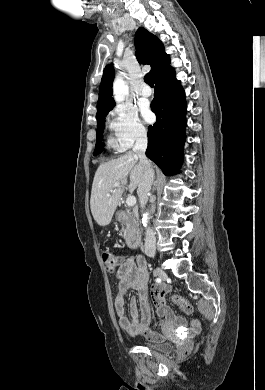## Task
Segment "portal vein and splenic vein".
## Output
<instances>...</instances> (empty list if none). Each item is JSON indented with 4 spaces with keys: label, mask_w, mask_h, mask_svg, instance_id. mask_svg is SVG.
Here are the masks:
<instances>
[{
    "label": "portal vein and splenic vein",
    "mask_w": 265,
    "mask_h": 390,
    "mask_svg": "<svg viewBox=\"0 0 265 390\" xmlns=\"http://www.w3.org/2000/svg\"><path fill=\"white\" fill-rule=\"evenodd\" d=\"M118 186H120V183H115V184L113 185L112 189L110 190V192H112L113 189H114L115 187H118ZM107 196H109V194H107ZM126 204H127V206H129V207L135 206V204H136V198H135V196H129V197H127V199H126Z\"/></svg>",
    "instance_id": "portal-vein-and-splenic-vein-1"
}]
</instances>
